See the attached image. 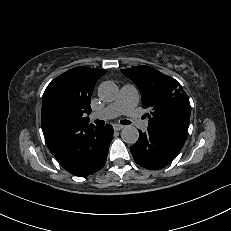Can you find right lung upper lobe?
Here are the masks:
<instances>
[{
  "label": "right lung upper lobe",
  "mask_w": 231,
  "mask_h": 231,
  "mask_svg": "<svg viewBox=\"0 0 231 231\" xmlns=\"http://www.w3.org/2000/svg\"><path fill=\"white\" fill-rule=\"evenodd\" d=\"M106 70L77 67L55 78L43 94L41 123L51 153L69 144L73 134L90 126V101L94 86Z\"/></svg>",
  "instance_id": "right-lung-upper-lobe-1"
}]
</instances>
